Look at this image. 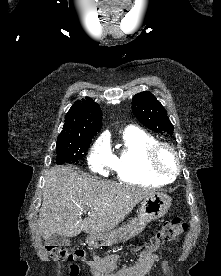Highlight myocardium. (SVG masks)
I'll use <instances>...</instances> for the list:
<instances>
[{"instance_id": "obj_1", "label": "myocardium", "mask_w": 221, "mask_h": 276, "mask_svg": "<svg viewBox=\"0 0 221 276\" xmlns=\"http://www.w3.org/2000/svg\"><path fill=\"white\" fill-rule=\"evenodd\" d=\"M166 150L174 158V167L167 168L161 163V153ZM146 163L149 170L157 176L172 178L178 174L181 162L177 150L169 143L156 141L146 151Z\"/></svg>"}]
</instances>
